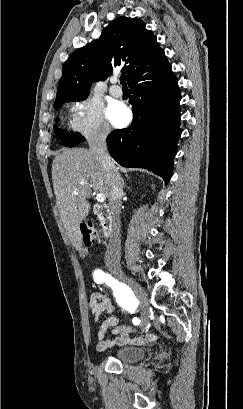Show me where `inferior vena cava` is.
I'll list each match as a JSON object with an SVG mask.
<instances>
[{
  "label": "inferior vena cava",
  "instance_id": "1",
  "mask_svg": "<svg viewBox=\"0 0 243 409\" xmlns=\"http://www.w3.org/2000/svg\"><path fill=\"white\" fill-rule=\"evenodd\" d=\"M108 130L103 129L89 138V151L101 163L102 169L106 174L109 186V208L112 217V234L109 241L107 262L113 268L120 267V212L121 199L123 196L122 182L115 164L107 150L106 138Z\"/></svg>",
  "mask_w": 243,
  "mask_h": 409
}]
</instances>
